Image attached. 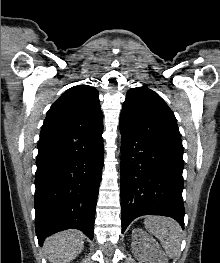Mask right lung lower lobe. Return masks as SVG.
<instances>
[{
	"mask_svg": "<svg viewBox=\"0 0 220 263\" xmlns=\"http://www.w3.org/2000/svg\"><path fill=\"white\" fill-rule=\"evenodd\" d=\"M102 132L39 141L35 227L41 246L47 236L70 228L93 238L104 160Z\"/></svg>",
	"mask_w": 220,
	"mask_h": 263,
	"instance_id": "1",
	"label": "right lung lower lobe"
}]
</instances>
